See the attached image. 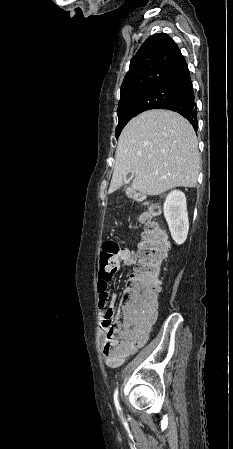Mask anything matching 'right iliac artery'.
<instances>
[{
  "instance_id": "1",
  "label": "right iliac artery",
  "mask_w": 233,
  "mask_h": 449,
  "mask_svg": "<svg viewBox=\"0 0 233 449\" xmlns=\"http://www.w3.org/2000/svg\"><path fill=\"white\" fill-rule=\"evenodd\" d=\"M114 403H115L117 412L119 414H121L122 411H121V407H120L119 400H118V388H116V390L114 391Z\"/></svg>"
}]
</instances>
